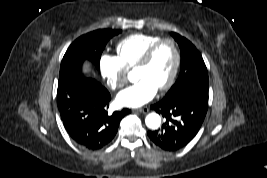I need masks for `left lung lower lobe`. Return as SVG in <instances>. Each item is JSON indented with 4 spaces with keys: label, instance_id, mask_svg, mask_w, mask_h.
Masks as SVG:
<instances>
[{
    "label": "left lung lower lobe",
    "instance_id": "left-lung-lower-lobe-1",
    "mask_svg": "<svg viewBox=\"0 0 267 178\" xmlns=\"http://www.w3.org/2000/svg\"><path fill=\"white\" fill-rule=\"evenodd\" d=\"M165 118L161 129L148 131L149 138L161 149L176 151L186 146L198 133L208 109V92L186 89L164 97L151 106Z\"/></svg>",
    "mask_w": 267,
    "mask_h": 178
}]
</instances>
